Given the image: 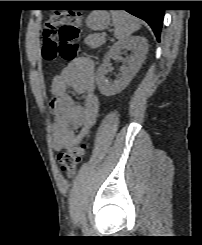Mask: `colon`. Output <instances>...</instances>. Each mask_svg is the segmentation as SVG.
<instances>
[{"mask_svg": "<svg viewBox=\"0 0 202 245\" xmlns=\"http://www.w3.org/2000/svg\"><path fill=\"white\" fill-rule=\"evenodd\" d=\"M81 26V18L71 12L49 15L43 26V59L52 62L61 57L65 61H73L79 52ZM86 149V143L81 142L59 153L60 166L64 174L69 177L75 175Z\"/></svg>", "mask_w": 202, "mask_h": 245, "instance_id": "5ec220e1", "label": "colon"}]
</instances>
